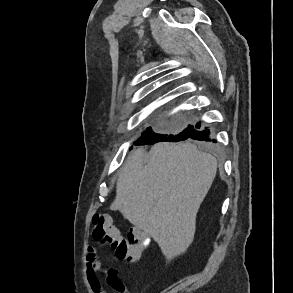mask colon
<instances>
[{
	"instance_id": "5ec220e1",
	"label": "colon",
	"mask_w": 293,
	"mask_h": 293,
	"mask_svg": "<svg viewBox=\"0 0 293 293\" xmlns=\"http://www.w3.org/2000/svg\"><path fill=\"white\" fill-rule=\"evenodd\" d=\"M93 238L108 244L116 256L129 263L136 262L147 247L148 236L142 230L132 227L123 236L109 215L96 212L92 217Z\"/></svg>"
}]
</instances>
